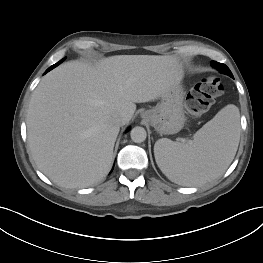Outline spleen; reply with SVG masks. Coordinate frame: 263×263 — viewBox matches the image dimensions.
<instances>
[{
	"mask_svg": "<svg viewBox=\"0 0 263 263\" xmlns=\"http://www.w3.org/2000/svg\"><path fill=\"white\" fill-rule=\"evenodd\" d=\"M239 140V109L229 104L194 134L191 143L162 138L154 145V155L158 167L170 181L197 186L217 179L226 171Z\"/></svg>",
	"mask_w": 263,
	"mask_h": 263,
	"instance_id": "obj_1",
	"label": "spleen"
}]
</instances>
